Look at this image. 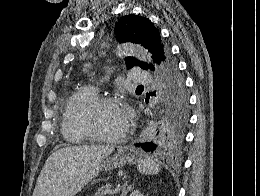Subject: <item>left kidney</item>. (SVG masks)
<instances>
[{
    "label": "left kidney",
    "instance_id": "obj_1",
    "mask_svg": "<svg viewBox=\"0 0 260 196\" xmlns=\"http://www.w3.org/2000/svg\"><path fill=\"white\" fill-rule=\"evenodd\" d=\"M131 196H143V194H141V192H139V190H134V192H132Z\"/></svg>",
    "mask_w": 260,
    "mask_h": 196
}]
</instances>
